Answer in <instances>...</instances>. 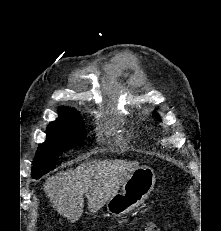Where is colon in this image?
<instances>
[{
    "mask_svg": "<svg viewBox=\"0 0 221 231\" xmlns=\"http://www.w3.org/2000/svg\"><path fill=\"white\" fill-rule=\"evenodd\" d=\"M159 227L156 222H147L140 231H158Z\"/></svg>",
    "mask_w": 221,
    "mask_h": 231,
    "instance_id": "1",
    "label": "colon"
}]
</instances>
